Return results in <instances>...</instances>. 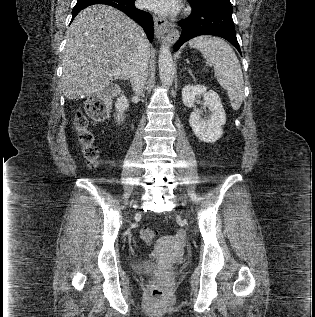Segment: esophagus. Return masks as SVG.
I'll return each mask as SVG.
<instances>
[{
    "label": "esophagus",
    "instance_id": "obj_1",
    "mask_svg": "<svg viewBox=\"0 0 315 317\" xmlns=\"http://www.w3.org/2000/svg\"><path fill=\"white\" fill-rule=\"evenodd\" d=\"M154 28L157 38L163 40L165 43L171 45L179 37V31L170 24L165 18L160 16H153Z\"/></svg>",
    "mask_w": 315,
    "mask_h": 317
}]
</instances>
